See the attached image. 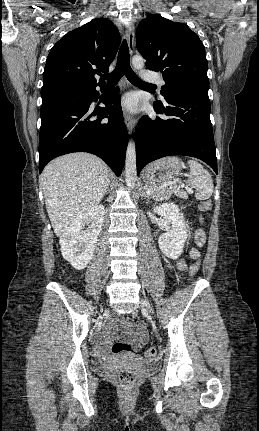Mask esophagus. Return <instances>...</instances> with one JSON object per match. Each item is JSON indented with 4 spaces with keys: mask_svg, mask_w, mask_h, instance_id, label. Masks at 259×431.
<instances>
[{
    "mask_svg": "<svg viewBox=\"0 0 259 431\" xmlns=\"http://www.w3.org/2000/svg\"><path fill=\"white\" fill-rule=\"evenodd\" d=\"M134 34H135L134 25L133 23H130L126 31V39H127L130 55H132L134 52ZM124 121L128 129L132 130L135 125V121L132 119V117L129 115V113L126 110H124Z\"/></svg>",
    "mask_w": 259,
    "mask_h": 431,
    "instance_id": "obj_1",
    "label": "esophagus"
}]
</instances>
